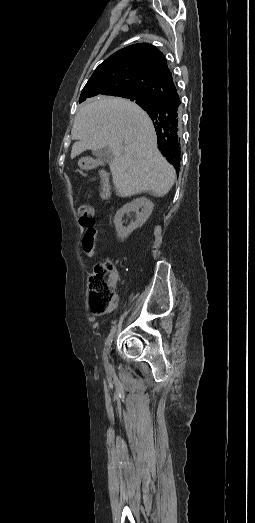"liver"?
Here are the masks:
<instances>
[{"label": "liver", "instance_id": "liver-1", "mask_svg": "<svg viewBox=\"0 0 255 523\" xmlns=\"http://www.w3.org/2000/svg\"><path fill=\"white\" fill-rule=\"evenodd\" d=\"M71 158L85 150L110 148L113 184L119 196H134L151 190L166 196L175 180V170L157 148L153 124L137 104L122 98H91L78 110L73 128Z\"/></svg>", "mask_w": 255, "mask_h": 523}]
</instances>
